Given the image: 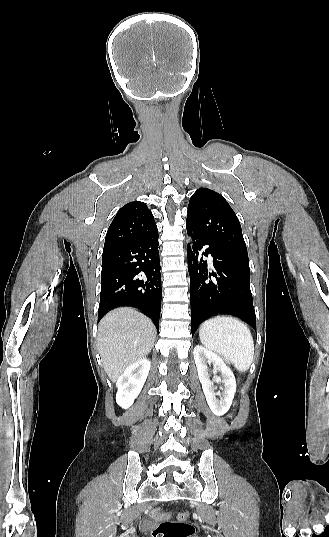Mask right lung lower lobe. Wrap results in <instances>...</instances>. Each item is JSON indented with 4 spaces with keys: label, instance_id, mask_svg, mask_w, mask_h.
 <instances>
[{
    "label": "right lung lower lobe",
    "instance_id": "1",
    "mask_svg": "<svg viewBox=\"0 0 329 537\" xmlns=\"http://www.w3.org/2000/svg\"><path fill=\"white\" fill-rule=\"evenodd\" d=\"M158 230L125 246L103 251L98 321L111 309L138 307L159 328L161 273Z\"/></svg>",
    "mask_w": 329,
    "mask_h": 537
}]
</instances>
